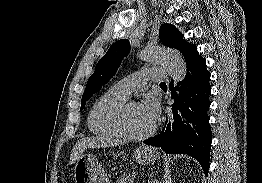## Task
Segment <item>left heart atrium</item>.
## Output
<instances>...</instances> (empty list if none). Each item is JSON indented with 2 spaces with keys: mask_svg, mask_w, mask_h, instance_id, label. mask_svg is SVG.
<instances>
[{
  "mask_svg": "<svg viewBox=\"0 0 262 183\" xmlns=\"http://www.w3.org/2000/svg\"><path fill=\"white\" fill-rule=\"evenodd\" d=\"M140 106L149 123L154 125L159 117V107L157 102L152 98H146Z\"/></svg>",
  "mask_w": 262,
  "mask_h": 183,
  "instance_id": "39dd6f15",
  "label": "left heart atrium"
}]
</instances>
